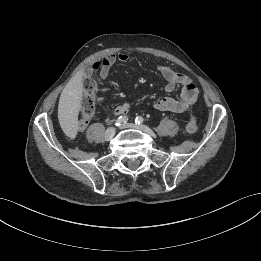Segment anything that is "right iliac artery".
I'll return each instance as SVG.
<instances>
[{
  "mask_svg": "<svg viewBox=\"0 0 261 261\" xmlns=\"http://www.w3.org/2000/svg\"><path fill=\"white\" fill-rule=\"evenodd\" d=\"M127 121H128V118H127L126 116H120V117L116 120L115 125H116V126H120V125L125 124Z\"/></svg>",
  "mask_w": 261,
  "mask_h": 261,
  "instance_id": "obj_1",
  "label": "right iliac artery"
}]
</instances>
